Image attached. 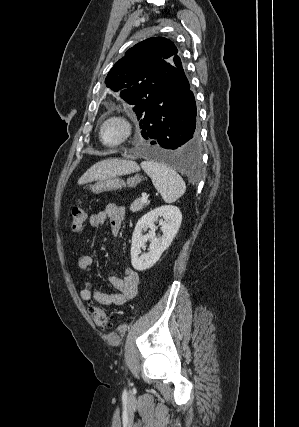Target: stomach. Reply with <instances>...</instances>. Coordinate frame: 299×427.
<instances>
[{
    "label": "stomach",
    "mask_w": 299,
    "mask_h": 427,
    "mask_svg": "<svg viewBox=\"0 0 299 427\" xmlns=\"http://www.w3.org/2000/svg\"><path fill=\"white\" fill-rule=\"evenodd\" d=\"M140 181H141V178L139 175L129 177L126 181L121 179L119 175H116V176H111V177L98 180L95 184L90 186V190L94 194H100L103 192L120 190L124 187H134Z\"/></svg>",
    "instance_id": "1"
}]
</instances>
